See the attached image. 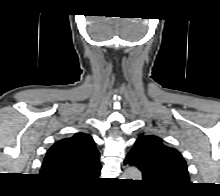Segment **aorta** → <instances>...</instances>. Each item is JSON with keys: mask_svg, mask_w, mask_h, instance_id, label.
<instances>
[{"mask_svg": "<svg viewBox=\"0 0 220 196\" xmlns=\"http://www.w3.org/2000/svg\"><path fill=\"white\" fill-rule=\"evenodd\" d=\"M121 179H133V180H141L142 175L141 172L136 167H127Z\"/></svg>", "mask_w": 220, "mask_h": 196, "instance_id": "1", "label": "aorta"}]
</instances>
